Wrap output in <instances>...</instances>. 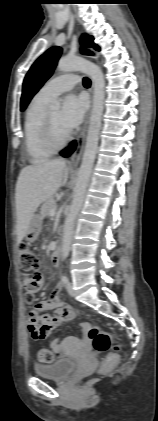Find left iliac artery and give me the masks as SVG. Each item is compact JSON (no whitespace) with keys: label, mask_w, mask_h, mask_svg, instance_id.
Returning <instances> with one entry per match:
<instances>
[{"label":"left iliac artery","mask_w":158,"mask_h":421,"mask_svg":"<svg viewBox=\"0 0 158 421\" xmlns=\"http://www.w3.org/2000/svg\"><path fill=\"white\" fill-rule=\"evenodd\" d=\"M61 281H62L63 284H68V278H67V276H65V275L62 276Z\"/></svg>","instance_id":"left-iliac-artery-1"}]
</instances>
